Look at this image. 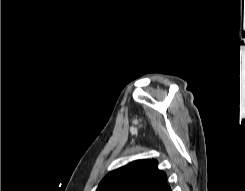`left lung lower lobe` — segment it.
<instances>
[{
    "label": "left lung lower lobe",
    "instance_id": "0a47b994",
    "mask_svg": "<svg viewBox=\"0 0 245 191\" xmlns=\"http://www.w3.org/2000/svg\"><path fill=\"white\" fill-rule=\"evenodd\" d=\"M161 191H171V187L169 184L165 185Z\"/></svg>",
    "mask_w": 245,
    "mask_h": 191
}]
</instances>
